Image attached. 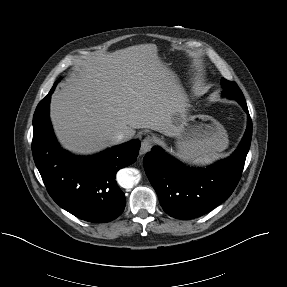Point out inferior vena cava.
Wrapping results in <instances>:
<instances>
[{"label":"inferior vena cava","instance_id":"1","mask_svg":"<svg viewBox=\"0 0 287 287\" xmlns=\"http://www.w3.org/2000/svg\"><path fill=\"white\" fill-rule=\"evenodd\" d=\"M128 140V136L125 135L124 133H117L115 135L112 136L111 141L113 144H118L121 142H124Z\"/></svg>","mask_w":287,"mask_h":287}]
</instances>
